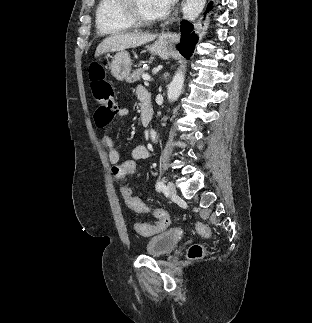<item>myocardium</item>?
Returning a JSON list of instances; mask_svg holds the SVG:
<instances>
[{"instance_id":"myocardium-1","label":"myocardium","mask_w":312,"mask_h":323,"mask_svg":"<svg viewBox=\"0 0 312 323\" xmlns=\"http://www.w3.org/2000/svg\"><path fill=\"white\" fill-rule=\"evenodd\" d=\"M119 6L121 10H118V13L126 23H134V25H155L157 23L155 18H149L147 14H142L141 10L137 12V0H121Z\"/></svg>"}]
</instances>
